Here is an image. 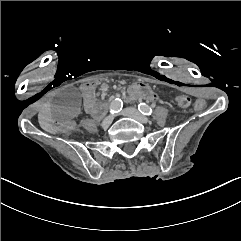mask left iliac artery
I'll use <instances>...</instances> for the list:
<instances>
[{
	"label": "left iliac artery",
	"mask_w": 241,
	"mask_h": 241,
	"mask_svg": "<svg viewBox=\"0 0 241 241\" xmlns=\"http://www.w3.org/2000/svg\"><path fill=\"white\" fill-rule=\"evenodd\" d=\"M138 110L144 115H151L153 113V110L151 109V107H149L145 103H140L138 105Z\"/></svg>",
	"instance_id": "44dca946"
}]
</instances>
